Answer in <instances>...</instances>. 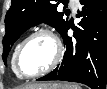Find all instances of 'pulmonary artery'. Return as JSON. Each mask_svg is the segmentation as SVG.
<instances>
[{
    "label": "pulmonary artery",
    "instance_id": "e3ab8cb5",
    "mask_svg": "<svg viewBox=\"0 0 107 89\" xmlns=\"http://www.w3.org/2000/svg\"><path fill=\"white\" fill-rule=\"evenodd\" d=\"M71 6H72V9H73V12H75L77 10V7H78V1L77 0H71Z\"/></svg>",
    "mask_w": 107,
    "mask_h": 89
}]
</instances>
